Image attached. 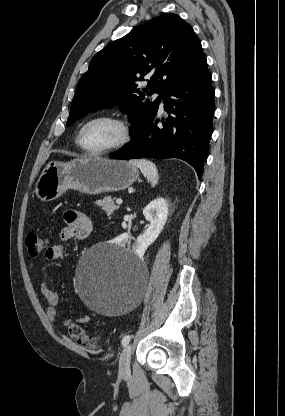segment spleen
I'll return each instance as SVG.
<instances>
[{
  "mask_svg": "<svg viewBox=\"0 0 285 416\" xmlns=\"http://www.w3.org/2000/svg\"><path fill=\"white\" fill-rule=\"evenodd\" d=\"M130 164H132V166H136V168L141 170L144 178L150 180L152 188L158 184L159 174L153 162H149V160H130Z\"/></svg>",
  "mask_w": 285,
  "mask_h": 416,
  "instance_id": "3e777b00",
  "label": "spleen"
}]
</instances>
